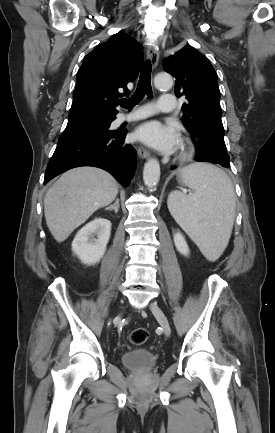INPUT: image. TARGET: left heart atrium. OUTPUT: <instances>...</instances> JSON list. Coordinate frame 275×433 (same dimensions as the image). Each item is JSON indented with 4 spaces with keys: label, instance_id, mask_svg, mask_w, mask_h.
Instances as JSON below:
<instances>
[{
    "label": "left heart atrium",
    "instance_id": "39dd6f15",
    "mask_svg": "<svg viewBox=\"0 0 275 433\" xmlns=\"http://www.w3.org/2000/svg\"><path fill=\"white\" fill-rule=\"evenodd\" d=\"M135 138L153 148L169 153L179 143L176 128L172 125H163L159 121H148L137 128Z\"/></svg>",
    "mask_w": 275,
    "mask_h": 433
}]
</instances>
